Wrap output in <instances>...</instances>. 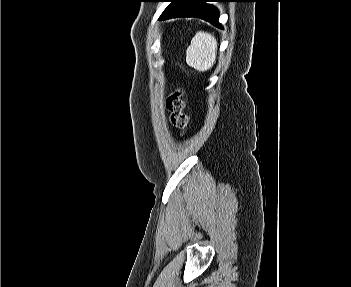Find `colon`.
Masks as SVG:
<instances>
[{"label": "colon", "instance_id": "5ec220e1", "mask_svg": "<svg viewBox=\"0 0 351 287\" xmlns=\"http://www.w3.org/2000/svg\"><path fill=\"white\" fill-rule=\"evenodd\" d=\"M185 92L181 89L174 90L166 101L170 113V121L173 127L183 132L188 123V116L185 112Z\"/></svg>", "mask_w": 351, "mask_h": 287}]
</instances>
